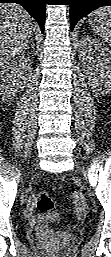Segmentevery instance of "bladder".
<instances>
[{"instance_id": "obj_1", "label": "bladder", "mask_w": 111, "mask_h": 257, "mask_svg": "<svg viewBox=\"0 0 111 257\" xmlns=\"http://www.w3.org/2000/svg\"><path fill=\"white\" fill-rule=\"evenodd\" d=\"M54 236L60 240L62 246H68L77 241L76 235L65 231H58Z\"/></svg>"}]
</instances>
